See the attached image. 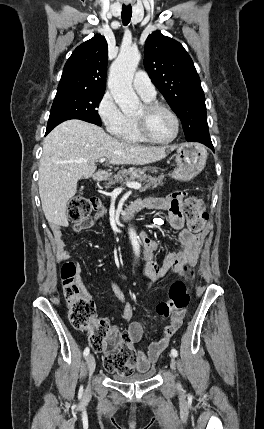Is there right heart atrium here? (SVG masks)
<instances>
[{"label":"right heart atrium","instance_id":"obj_1","mask_svg":"<svg viewBox=\"0 0 264 429\" xmlns=\"http://www.w3.org/2000/svg\"><path fill=\"white\" fill-rule=\"evenodd\" d=\"M96 112L109 134L119 136L126 127L127 116L121 111L111 93L103 94L97 104Z\"/></svg>","mask_w":264,"mask_h":429}]
</instances>
